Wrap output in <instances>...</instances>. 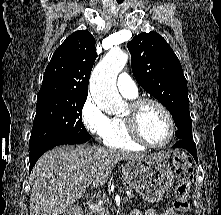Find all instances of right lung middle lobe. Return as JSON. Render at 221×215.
<instances>
[{"label":"right lung middle lobe","mask_w":221,"mask_h":215,"mask_svg":"<svg viewBox=\"0 0 221 215\" xmlns=\"http://www.w3.org/2000/svg\"><path fill=\"white\" fill-rule=\"evenodd\" d=\"M87 97H55L37 102L29 150L88 135L81 119Z\"/></svg>","instance_id":"right-lung-middle-lobe-1"}]
</instances>
